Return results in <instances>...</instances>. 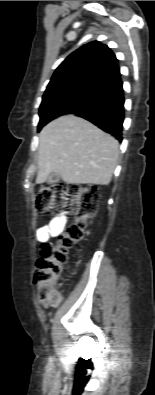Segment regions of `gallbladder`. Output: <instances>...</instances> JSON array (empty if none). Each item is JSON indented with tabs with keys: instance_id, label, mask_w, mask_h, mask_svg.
<instances>
[{
	"instance_id": "obj_1",
	"label": "gallbladder",
	"mask_w": 155,
	"mask_h": 395,
	"mask_svg": "<svg viewBox=\"0 0 155 395\" xmlns=\"http://www.w3.org/2000/svg\"><path fill=\"white\" fill-rule=\"evenodd\" d=\"M59 181H60V176L55 173H51L47 178V182L50 184H55L58 183Z\"/></svg>"
}]
</instances>
